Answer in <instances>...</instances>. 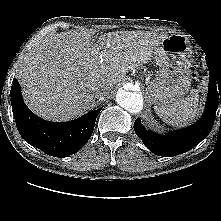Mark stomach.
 Wrapping results in <instances>:
<instances>
[{
  "instance_id": "obj_1",
  "label": "stomach",
  "mask_w": 221,
  "mask_h": 221,
  "mask_svg": "<svg viewBox=\"0 0 221 221\" xmlns=\"http://www.w3.org/2000/svg\"><path fill=\"white\" fill-rule=\"evenodd\" d=\"M191 48L184 35L172 34L161 40L155 54L157 76L148 85L150 101L155 107L178 103L189 92Z\"/></svg>"
}]
</instances>
